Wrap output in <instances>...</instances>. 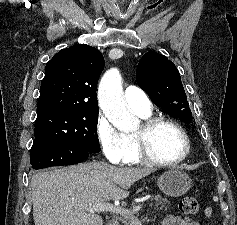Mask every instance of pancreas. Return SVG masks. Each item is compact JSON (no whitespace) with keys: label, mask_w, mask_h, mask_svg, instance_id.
I'll use <instances>...</instances> for the list:
<instances>
[{"label":"pancreas","mask_w":237,"mask_h":225,"mask_svg":"<svg viewBox=\"0 0 237 225\" xmlns=\"http://www.w3.org/2000/svg\"><path fill=\"white\" fill-rule=\"evenodd\" d=\"M152 201H155L154 205L156 207H159V210H167V206L169 204V201L167 199L157 195L151 198V202ZM128 211L130 215H121L120 217H117V219L124 225H133V222L138 221V217L135 215V212L133 210Z\"/></svg>","instance_id":"pancreas-1"}]
</instances>
